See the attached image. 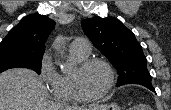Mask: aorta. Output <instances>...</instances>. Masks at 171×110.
<instances>
[{"label":"aorta","instance_id":"1","mask_svg":"<svg viewBox=\"0 0 171 110\" xmlns=\"http://www.w3.org/2000/svg\"><path fill=\"white\" fill-rule=\"evenodd\" d=\"M63 49H64V46H63V43L58 41L56 43V50L61 54L63 55Z\"/></svg>","mask_w":171,"mask_h":110}]
</instances>
